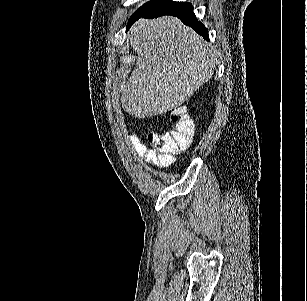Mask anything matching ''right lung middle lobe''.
Masks as SVG:
<instances>
[{
  "instance_id": "1",
  "label": "right lung middle lobe",
  "mask_w": 307,
  "mask_h": 301,
  "mask_svg": "<svg viewBox=\"0 0 307 301\" xmlns=\"http://www.w3.org/2000/svg\"><path fill=\"white\" fill-rule=\"evenodd\" d=\"M161 0H150L149 2L145 3L143 6H141L129 19L128 27L127 29L146 11H148L150 8L158 4Z\"/></svg>"
}]
</instances>
